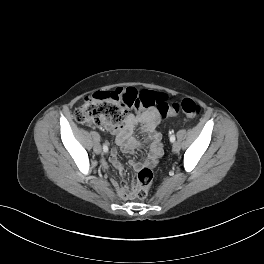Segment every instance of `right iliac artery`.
<instances>
[{"instance_id": "1", "label": "right iliac artery", "mask_w": 264, "mask_h": 264, "mask_svg": "<svg viewBox=\"0 0 264 264\" xmlns=\"http://www.w3.org/2000/svg\"><path fill=\"white\" fill-rule=\"evenodd\" d=\"M103 150H104V152H108V147L106 144L103 145Z\"/></svg>"}]
</instances>
